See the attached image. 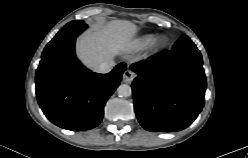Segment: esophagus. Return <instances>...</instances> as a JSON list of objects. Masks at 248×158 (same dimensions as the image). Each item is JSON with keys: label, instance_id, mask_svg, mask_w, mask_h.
Segmentation results:
<instances>
[{"label": "esophagus", "instance_id": "1", "mask_svg": "<svg viewBox=\"0 0 248 158\" xmlns=\"http://www.w3.org/2000/svg\"><path fill=\"white\" fill-rule=\"evenodd\" d=\"M122 77H123L124 82L131 83L135 77V73L131 71L130 69H127L124 71Z\"/></svg>", "mask_w": 248, "mask_h": 158}]
</instances>
